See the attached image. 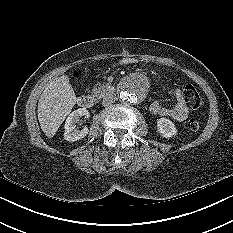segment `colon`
Masks as SVG:
<instances>
[{
    "label": "colon",
    "mask_w": 233,
    "mask_h": 233,
    "mask_svg": "<svg viewBox=\"0 0 233 233\" xmlns=\"http://www.w3.org/2000/svg\"><path fill=\"white\" fill-rule=\"evenodd\" d=\"M183 96L185 99V102L193 109H197L202 104L201 96L198 92V90L193 85H186L183 90ZM201 126V120L196 117L190 118L186 123V128L189 131H196Z\"/></svg>",
    "instance_id": "obj_1"
}]
</instances>
